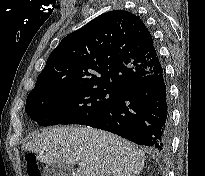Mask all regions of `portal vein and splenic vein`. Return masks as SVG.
Wrapping results in <instances>:
<instances>
[{"label": "portal vein and splenic vein", "mask_w": 205, "mask_h": 176, "mask_svg": "<svg viewBox=\"0 0 205 176\" xmlns=\"http://www.w3.org/2000/svg\"><path fill=\"white\" fill-rule=\"evenodd\" d=\"M79 166H80L81 168H85V167H86V164L83 163V162H80V163H79Z\"/></svg>", "instance_id": "18ae733b"}]
</instances>
